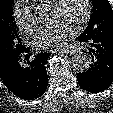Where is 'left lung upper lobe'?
Segmentation results:
<instances>
[{
	"mask_svg": "<svg viewBox=\"0 0 113 113\" xmlns=\"http://www.w3.org/2000/svg\"><path fill=\"white\" fill-rule=\"evenodd\" d=\"M93 13L83 33L92 36L97 33L113 34V10L108 0H92Z\"/></svg>",
	"mask_w": 113,
	"mask_h": 113,
	"instance_id": "5c2ea615",
	"label": "left lung upper lobe"
}]
</instances>
